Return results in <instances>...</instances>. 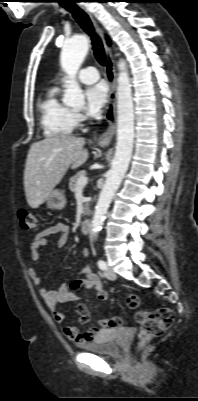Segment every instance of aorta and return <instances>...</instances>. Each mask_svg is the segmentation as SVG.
<instances>
[{"label":"aorta","instance_id":"obj_1","mask_svg":"<svg viewBox=\"0 0 198 401\" xmlns=\"http://www.w3.org/2000/svg\"><path fill=\"white\" fill-rule=\"evenodd\" d=\"M89 48L85 36H76L63 45L61 66L68 75L63 102L67 106L84 104V94L75 77ZM117 86V143L115 156L106 182L99 195L92 220V234L101 229L108 207L128 169L134 142V105L132 88L125 61L118 64Z\"/></svg>","mask_w":198,"mask_h":401}]
</instances>
